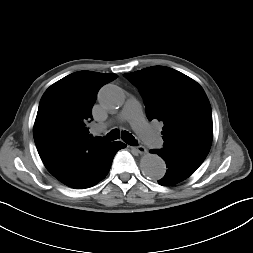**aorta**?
I'll return each instance as SVG.
<instances>
[{
  "label": "aorta",
  "mask_w": 253,
  "mask_h": 253,
  "mask_svg": "<svg viewBox=\"0 0 253 253\" xmlns=\"http://www.w3.org/2000/svg\"><path fill=\"white\" fill-rule=\"evenodd\" d=\"M100 105L108 110L114 111L123 106L125 95L121 88L108 84L101 88L98 95ZM140 167L144 175L157 180L163 178L166 173L164 160L156 154H146L141 158Z\"/></svg>",
  "instance_id": "1"
}]
</instances>
